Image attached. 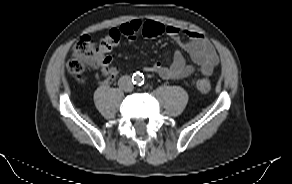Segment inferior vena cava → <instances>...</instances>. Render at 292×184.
Instances as JSON below:
<instances>
[{"instance_id":"inferior-vena-cava-1","label":"inferior vena cava","mask_w":292,"mask_h":184,"mask_svg":"<svg viewBox=\"0 0 292 184\" xmlns=\"http://www.w3.org/2000/svg\"><path fill=\"white\" fill-rule=\"evenodd\" d=\"M118 85L122 90L127 92L132 91L134 87L131 78L128 75L122 76L118 81Z\"/></svg>"}]
</instances>
